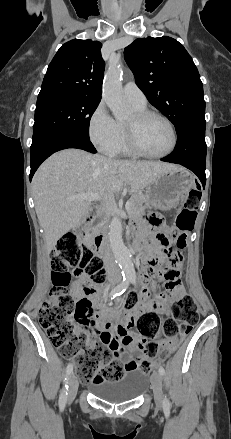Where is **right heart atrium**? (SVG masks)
Instances as JSON below:
<instances>
[{"label":"right heart atrium","mask_w":231,"mask_h":439,"mask_svg":"<svg viewBox=\"0 0 231 439\" xmlns=\"http://www.w3.org/2000/svg\"><path fill=\"white\" fill-rule=\"evenodd\" d=\"M88 135L93 145L105 153L113 150L119 142L118 123L113 119L103 101L97 104L89 117Z\"/></svg>","instance_id":"right-heart-atrium-1"}]
</instances>
